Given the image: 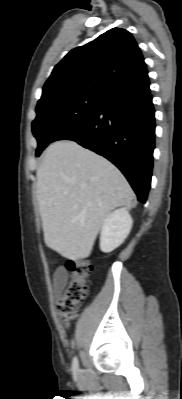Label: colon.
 <instances>
[{"label":"colon","mask_w":182,"mask_h":399,"mask_svg":"<svg viewBox=\"0 0 182 399\" xmlns=\"http://www.w3.org/2000/svg\"><path fill=\"white\" fill-rule=\"evenodd\" d=\"M67 269L71 274V280L61 295L57 312L59 319L68 327L76 318L78 308L87 296V279L91 274L92 264L88 259L71 260Z\"/></svg>","instance_id":"1"}]
</instances>
